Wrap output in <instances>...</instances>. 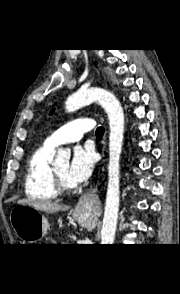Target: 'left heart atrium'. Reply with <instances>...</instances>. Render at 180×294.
<instances>
[{
  "label": "left heart atrium",
  "mask_w": 180,
  "mask_h": 294,
  "mask_svg": "<svg viewBox=\"0 0 180 294\" xmlns=\"http://www.w3.org/2000/svg\"><path fill=\"white\" fill-rule=\"evenodd\" d=\"M95 164L93 151L86 147H77L74 150L73 157L66 172L68 182L73 185H79L86 181L92 174Z\"/></svg>",
  "instance_id": "left-heart-atrium-1"
}]
</instances>
